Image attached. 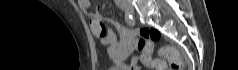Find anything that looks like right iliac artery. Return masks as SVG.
<instances>
[{"label": "right iliac artery", "mask_w": 238, "mask_h": 70, "mask_svg": "<svg viewBox=\"0 0 238 70\" xmlns=\"http://www.w3.org/2000/svg\"><path fill=\"white\" fill-rule=\"evenodd\" d=\"M125 21L127 22L128 25L134 26L135 25V20L133 16L129 13H125Z\"/></svg>", "instance_id": "1"}]
</instances>
